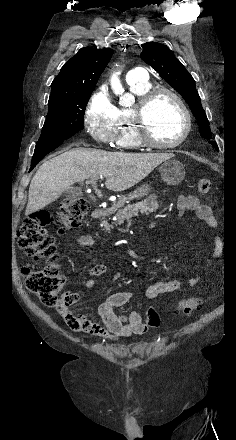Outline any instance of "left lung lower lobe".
Returning a JSON list of instances; mask_svg holds the SVG:
<instances>
[{
  "instance_id": "left-lung-lower-lobe-1",
  "label": "left lung lower lobe",
  "mask_w": 236,
  "mask_h": 440,
  "mask_svg": "<svg viewBox=\"0 0 236 440\" xmlns=\"http://www.w3.org/2000/svg\"><path fill=\"white\" fill-rule=\"evenodd\" d=\"M209 143H211L218 150L217 144L214 141H209Z\"/></svg>"
}]
</instances>
